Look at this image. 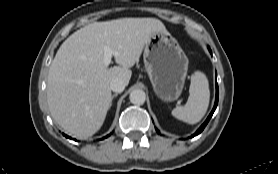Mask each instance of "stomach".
Segmentation results:
<instances>
[{
    "label": "stomach",
    "instance_id": "obj_1",
    "mask_svg": "<svg viewBox=\"0 0 278 174\" xmlns=\"http://www.w3.org/2000/svg\"><path fill=\"white\" fill-rule=\"evenodd\" d=\"M143 60L156 95L166 102L178 99L189 61L177 40L168 32L153 33L144 46Z\"/></svg>",
    "mask_w": 278,
    "mask_h": 174
}]
</instances>
